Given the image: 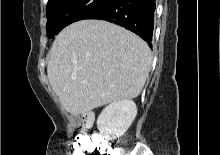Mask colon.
<instances>
[{
    "instance_id": "obj_1",
    "label": "colon",
    "mask_w": 220,
    "mask_h": 155,
    "mask_svg": "<svg viewBox=\"0 0 220 155\" xmlns=\"http://www.w3.org/2000/svg\"><path fill=\"white\" fill-rule=\"evenodd\" d=\"M75 155H111L112 147L108 143L98 142L91 137H77L74 143Z\"/></svg>"
}]
</instances>
